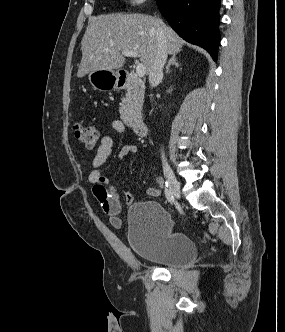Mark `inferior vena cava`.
Segmentation results:
<instances>
[{
  "label": "inferior vena cava",
  "instance_id": "obj_1",
  "mask_svg": "<svg viewBox=\"0 0 285 332\" xmlns=\"http://www.w3.org/2000/svg\"><path fill=\"white\" fill-rule=\"evenodd\" d=\"M158 35V48L155 59L149 72V83L154 85L157 81L163 77V67L167 60V43L165 37V28L163 25L157 31ZM162 160L165 161L164 154H162Z\"/></svg>",
  "mask_w": 285,
  "mask_h": 332
}]
</instances>
